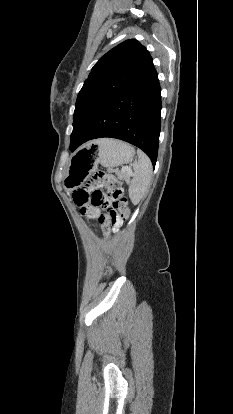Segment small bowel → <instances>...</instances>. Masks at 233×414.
Listing matches in <instances>:
<instances>
[{"label": "small bowel", "instance_id": "c3829d8e", "mask_svg": "<svg viewBox=\"0 0 233 414\" xmlns=\"http://www.w3.org/2000/svg\"><path fill=\"white\" fill-rule=\"evenodd\" d=\"M81 213L85 214L87 216H89L91 219L93 220H98L99 221V217L101 214V209L99 207L96 206H92V205H86L84 207H80ZM122 221L120 218H117L113 223V227L115 230H118V228L121 226Z\"/></svg>", "mask_w": 233, "mask_h": 414}]
</instances>
